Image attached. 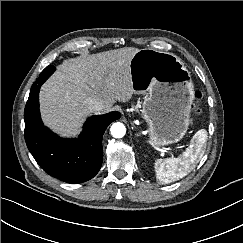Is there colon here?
Listing matches in <instances>:
<instances>
[{"mask_svg":"<svg viewBox=\"0 0 243 243\" xmlns=\"http://www.w3.org/2000/svg\"><path fill=\"white\" fill-rule=\"evenodd\" d=\"M195 98H196V101L198 102L201 98H202V93L200 91H197L195 93ZM197 106L195 107V109L197 110Z\"/></svg>","mask_w":243,"mask_h":243,"instance_id":"1","label":"colon"}]
</instances>
